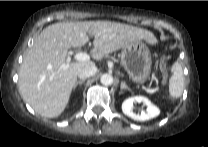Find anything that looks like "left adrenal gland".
<instances>
[{
    "instance_id": "left-adrenal-gland-1",
    "label": "left adrenal gland",
    "mask_w": 208,
    "mask_h": 147,
    "mask_svg": "<svg viewBox=\"0 0 208 147\" xmlns=\"http://www.w3.org/2000/svg\"><path fill=\"white\" fill-rule=\"evenodd\" d=\"M124 89L131 91V89L126 85V83L124 81H122L121 82V90H124Z\"/></svg>"
}]
</instances>
